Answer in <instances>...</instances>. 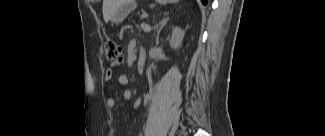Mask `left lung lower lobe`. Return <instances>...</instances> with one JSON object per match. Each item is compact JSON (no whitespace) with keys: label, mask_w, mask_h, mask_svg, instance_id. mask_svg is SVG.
Here are the masks:
<instances>
[{"label":"left lung lower lobe","mask_w":325,"mask_h":136,"mask_svg":"<svg viewBox=\"0 0 325 136\" xmlns=\"http://www.w3.org/2000/svg\"><path fill=\"white\" fill-rule=\"evenodd\" d=\"M202 2H203L204 4H206V3H207V0H202Z\"/></svg>","instance_id":"obj_1"}]
</instances>
